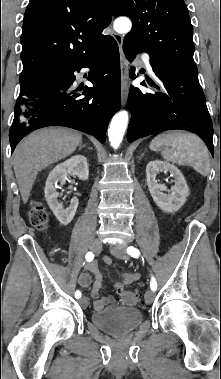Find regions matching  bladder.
Instances as JSON below:
<instances>
[{
    "label": "bladder",
    "mask_w": 221,
    "mask_h": 379,
    "mask_svg": "<svg viewBox=\"0 0 221 379\" xmlns=\"http://www.w3.org/2000/svg\"><path fill=\"white\" fill-rule=\"evenodd\" d=\"M141 311L123 306H110L91 315L92 323L103 332L120 337L129 334L142 322Z\"/></svg>",
    "instance_id": "1"
}]
</instances>
